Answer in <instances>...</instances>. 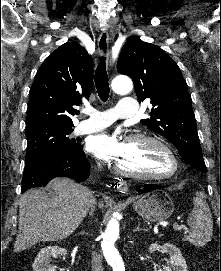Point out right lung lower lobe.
<instances>
[{"mask_svg": "<svg viewBox=\"0 0 221 271\" xmlns=\"http://www.w3.org/2000/svg\"><path fill=\"white\" fill-rule=\"evenodd\" d=\"M63 176L85 181L89 176V164L82 146L67 154L46 155L25 163L21 191L46 186L54 177Z\"/></svg>", "mask_w": 221, "mask_h": 271, "instance_id": "98d812e1", "label": "right lung lower lobe"}]
</instances>
